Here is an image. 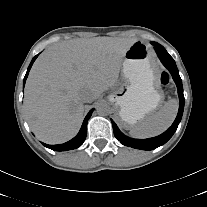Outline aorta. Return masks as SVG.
I'll return each instance as SVG.
<instances>
[{"instance_id": "762f6f07", "label": "aorta", "mask_w": 207, "mask_h": 207, "mask_svg": "<svg viewBox=\"0 0 207 207\" xmlns=\"http://www.w3.org/2000/svg\"><path fill=\"white\" fill-rule=\"evenodd\" d=\"M96 111L101 116H107L111 113V108L107 103H100L97 105Z\"/></svg>"}]
</instances>
